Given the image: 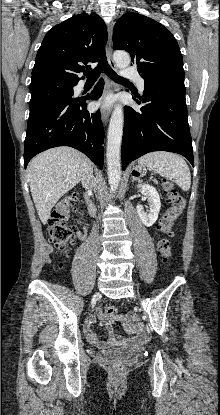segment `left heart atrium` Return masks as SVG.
Returning a JSON list of instances; mask_svg holds the SVG:
<instances>
[{"label": "left heart atrium", "instance_id": "left-heart-atrium-1", "mask_svg": "<svg viewBox=\"0 0 220 415\" xmlns=\"http://www.w3.org/2000/svg\"><path fill=\"white\" fill-rule=\"evenodd\" d=\"M111 101H112L111 97H106L100 102V104L106 106V105H109Z\"/></svg>", "mask_w": 220, "mask_h": 415}]
</instances>
